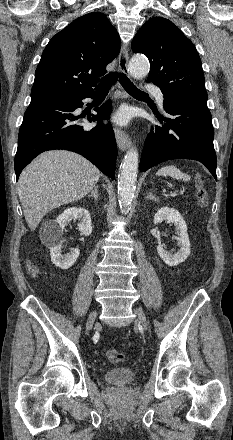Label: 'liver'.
<instances>
[{
	"instance_id": "liver-1",
	"label": "liver",
	"mask_w": 233,
	"mask_h": 440,
	"mask_svg": "<svg viewBox=\"0 0 233 440\" xmlns=\"http://www.w3.org/2000/svg\"><path fill=\"white\" fill-rule=\"evenodd\" d=\"M100 176V171L77 153L53 150L39 155L18 181V195L30 230L34 231L52 209L86 196Z\"/></svg>"
}]
</instances>
